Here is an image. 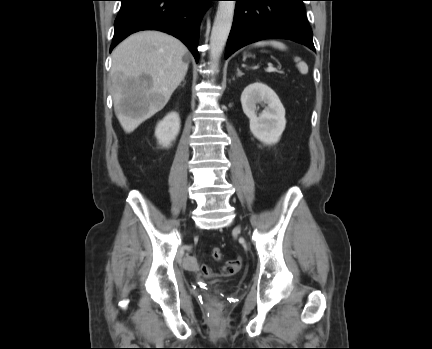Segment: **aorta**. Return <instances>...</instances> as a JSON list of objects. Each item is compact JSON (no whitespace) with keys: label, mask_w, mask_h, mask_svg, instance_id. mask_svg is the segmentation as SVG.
<instances>
[{"label":"aorta","mask_w":432,"mask_h":349,"mask_svg":"<svg viewBox=\"0 0 432 349\" xmlns=\"http://www.w3.org/2000/svg\"><path fill=\"white\" fill-rule=\"evenodd\" d=\"M234 10L235 1H219L210 36V61L213 68L218 66L226 45L233 23Z\"/></svg>","instance_id":"762f6f07"}]
</instances>
